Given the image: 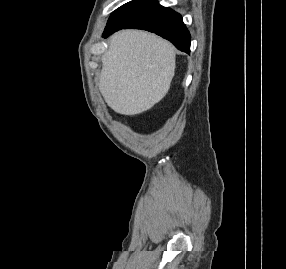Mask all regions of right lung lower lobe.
<instances>
[{
  "mask_svg": "<svg viewBox=\"0 0 286 269\" xmlns=\"http://www.w3.org/2000/svg\"><path fill=\"white\" fill-rule=\"evenodd\" d=\"M127 28L144 29L156 33L172 42L179 50L190 53V33L181 15L170 8L158 4L124 27L105 30L103 36L107 37L120 29Z\"/></svg>",
  "mask_w": 286,
  "mask_h": 269,
  "instance_id": "right-lung-lower-lobe-1",
  "label": "right lung lower lobe"
}]
</instances>
